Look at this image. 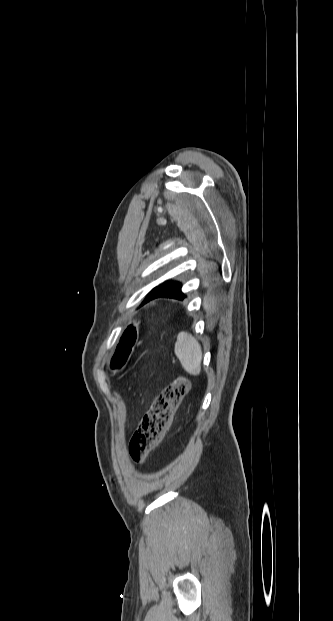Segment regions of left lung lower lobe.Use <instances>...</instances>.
Segmentation results:
<instances>
[{"label":"left lung lower lobe","mask_w":333,"mask_h":621,"mask_svg":"<svg viewBox=\"0 0 333 621\" xmlns=\"http://www.w3.org/2000/svg\"><path fill=\"white\" fill-rule=\"evenodd\" d=\"M185 297V294L181 292V283L169 282L168 284L160 288L152 296L151 300L158 298H174L178 300H183Z\"/></svg>","instance_id":"obj_1"}]
</instances>
